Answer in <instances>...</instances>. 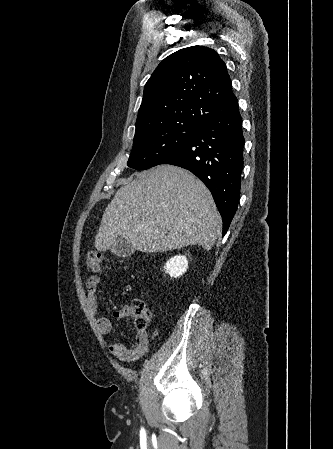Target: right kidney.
<instances>
[{
	"label": "right kidney",
	"mask_w": 333,
	"mask_h": 449,
	"mask_svg": "<svg viewBox=\"0 0 333 449\" xmlns=\"http://www.w3.org/2000/svg\"><path fill=\"white\" fill-rule=\"evenodd\" d=\"M187 268L188 260L183 255L171 257L164 266L165 272L174 278L183 275L187 271Z\"/></svg>",
	"instance_id": "1"
}]
</instances>
